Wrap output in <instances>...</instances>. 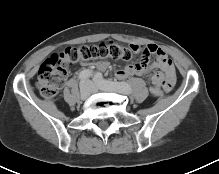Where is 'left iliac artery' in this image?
Masks as SVG:
<instances>
[{"label":"left iliac artery","mask_w":219,"mask_h":174,"mask_svg":"<svg viewBox=\"0 0 219 174\" xmlns=\"http://www.w3.org/2000/svg\"><path fill=\"white\" fill-rule=\"evenodd\" d=\"M94 82L100 87L112 89L115 92L130 94L132 89L126 82H113L103 78L101 73H96L93 78Z\"/></svg>","instance_id":"left-iliac-artery-1"}]
</instances>
